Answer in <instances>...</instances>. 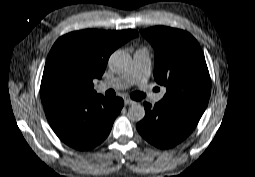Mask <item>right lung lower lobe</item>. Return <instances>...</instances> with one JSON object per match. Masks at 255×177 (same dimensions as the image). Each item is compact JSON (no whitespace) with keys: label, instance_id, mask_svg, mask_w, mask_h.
Returning a JSON list of instances; mask_svg holds the SVG:
<instances>
[{"label":"right lung lower lobe","instance_id":"98d812e1","mask_svg":"<svg viewBox=\"0 0 255 177\" xmlns=\"http://www.w3.org/2000/svg\"><path fill=\"white\" fill-rule=\"evenodd\" d=\"M44 107L52 129L64 143L78 150H89L106 139L123 100L94 93L45 103Z\"/></svg>","mask_w":255,"mask_h":177}]
</instances>
